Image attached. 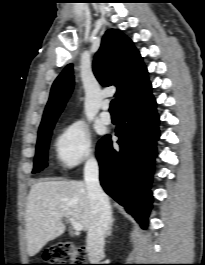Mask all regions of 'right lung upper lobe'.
Wrapping results in <instances>:
<instances>
[{
    "instance_id": "right-lung-upper-lobe-1",
    "label": "right lung upper lobe",
    "mask_w": 205,
    "mask_h": 265,
    "mask_svg": "<svg viewBox=\"0 0 205 265\" xmlns=\"http://www.w3.org/2000/svg\"><path fill=\"white\" fill-rule=\"evenodd\" d=\"M93 71L103 86L115 85L120 111L133 106L151 92L147 68L133 42L121 31L109 29L95 55ZM74 84L72 64L54 81L39 130L55 124Z\"/></svg>"
}]
</instances>
